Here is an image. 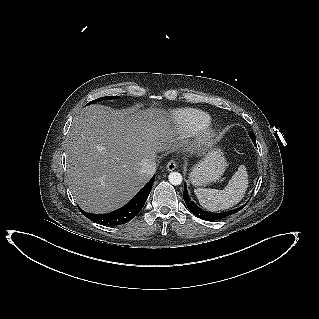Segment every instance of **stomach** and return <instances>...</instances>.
<instances>
[{
	"label": "stomach",
	"mask_w": 319,
	"mask_h": 319,
	"mask_svg": "<svg viewBox=\"0 0 319 319\" xmlns=\"http://www.w3.org/2000/svg\"><path fill=\"white\" fill-rule=\"evenodd\" d=\"M226 159L220 149L210 150L191 169L189 180L194 186H202L219 180L225 172Z\"/></svg>",
	"instance_id": "stomach-1"
}]
</instances>
